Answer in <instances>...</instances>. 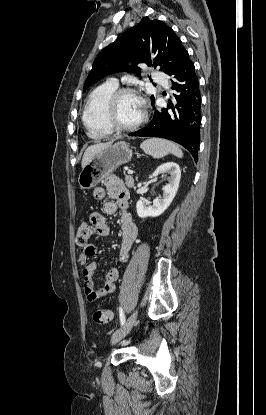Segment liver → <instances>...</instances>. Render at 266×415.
I'll use <instances>...</instances> for the list:
<instances>
[{
  "instance_id": "1",
  "label": "liver",
  "mask_w": 266,
  "mask_h": 415,
  "mask_svg": "<svg viewBox=\"0 0 266 415\" xmlns=\"http://www.w3.org/2000/svg\"><path fill=\"white\" fill-rule=\"evenodd\" d=\"M112 143H113V140L106 142V143H98V144L89 146L84 152V155L82 157V162H81L82 168L88 165L89 162L95 157L97 153H99L101 150L105 149L106 147L110 146Z\"/></svg>"
}]
</instances>
